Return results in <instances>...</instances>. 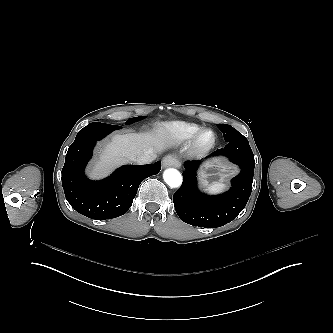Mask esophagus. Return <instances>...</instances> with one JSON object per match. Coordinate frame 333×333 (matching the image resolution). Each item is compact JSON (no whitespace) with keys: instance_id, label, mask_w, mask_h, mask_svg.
<instances>
[{"instance_id":"obj_1","label":"esophagus","mask_w":333,"mask_h":333,"mask_svg":"<svg viewBox=\"0 0 333 333\" xmlns=\"http://www.w3.org/2000/svg\"><path fill=\"white\" fill-rule=\"evenodd\" d=\"M162 164L165 168L167 167H179L181 162L179 159L174 155H167L163 158Z\"/></svg>"}]
</instances>
